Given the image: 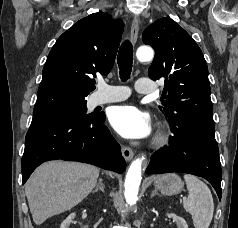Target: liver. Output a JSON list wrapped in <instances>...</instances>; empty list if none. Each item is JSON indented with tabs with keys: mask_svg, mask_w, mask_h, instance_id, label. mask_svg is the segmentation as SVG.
Listing matches in <instances>:
<instances>
[{
	"mask_svg": "<svg viewBox=\"0 0 238 228\" xmlns=\"http://www.w3.org/2000/svg\"><path fill=\"white\" fill-rule=\"evenodd\" d=\"M99 169L63 161L40 165L25 186L30 212L36 225L79 204L95 187Z\"/></svg>",
	"mask_w": 238,
	"mask_h": 228,
	"instance_id": "obj_1",
	"label": "liver"
}]
</instances>
